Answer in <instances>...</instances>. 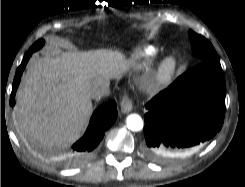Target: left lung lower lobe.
<instances>
[{
  "label": "left lung lower lobe",
  "mask_w": 245,
  "mask_h": 187,
  "mask_svg": "<svg viewBox=\"0 0 245 187\" xmlns=\"http://www.w3.org/2000/svg\"><path fill=\"white\" fill-rule=\"evenodd\" d=\"M226 85L217 58L203 61L146 104L144 135L155 156L210 140L222 128Z\"/></svg>",
  "instance_id": "1"
}]
</instances>
